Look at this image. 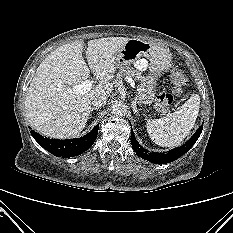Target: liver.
I'll use <instances>...</instances> for the list:
<instances>
[{"instance_id":"obj_1","label":"liver","mask_w":233,"mask_h":233,"mask_svg":"<svg viewBox=\"0 0 233 233\" xmlns=\"http://www.w3.org/2000/svg\"><path fill=\"white\" fill-rule=\"evenodd\" d=\"M108 37L88 41L86 57L82 56L84 41L77 40L56 48L38 66L27 89L25 110L33 129L50 138H70L85 127L91 112L92 98L109 97V83L116 72L117 51L129 40ZM90 70L99 83L85 93L73 87L88 79Z\"/></svg>"}]
</instances>
